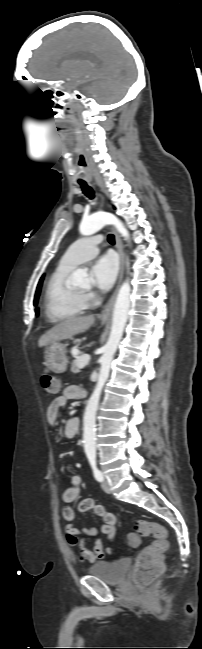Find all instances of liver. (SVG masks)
I'll use <instances>...</instances> for the list:
<instances>
[{"label": "liver", "mask_w": 202, "mask_h": 649, "mask_svg": "<svg viewBox=\"0 0 202 649\" xmlns=\"http://www.w3.org/2000/svg\"><path fill=\"white\" fill-rule=\"evenodd\" d=\"M94 321L95 317L93 315L66 319L42 335L38 341V345L39 347H44L73 335L83 333L93 325Z\"/></svg>", "instance_id": "6515ba94"}]
</instances>
